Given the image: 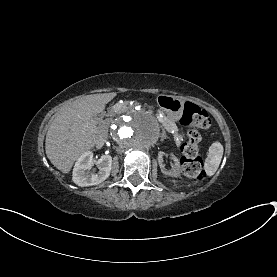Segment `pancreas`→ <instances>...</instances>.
I'll return each instance as SVG.
<instances>
[{"label": "pancreas", "instance_id": "1", "mask_svg": "<svg viewBox=\"0 0 277 277\" xmlns=\"http://www.w3.org/2000/svg\"><path fill=\"white\" fill-rule=\"evenodd\" d=\"M157 123L160 126L166 127V130L172 136V144L175 147H180L183 144V137L180 135V129L177 127V125L174 122L168 123V118L165 115H160L157 118Z\"/></svg>", "mask_w": 277, "mask_h": 277}]
</instances>
